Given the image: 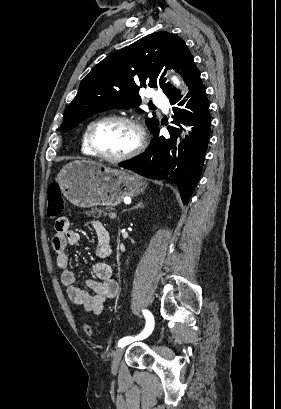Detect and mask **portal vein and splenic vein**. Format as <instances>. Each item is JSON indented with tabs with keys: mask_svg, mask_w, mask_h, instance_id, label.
I'll list each match as a JSON object with an SVG mask.
<instances>
[{
	"mask_svg": "<svg viewBox=\"0 0 281 409\" xmlns=\"http://www.w3.org/2000/svg\"><path fill=\"white\" fill-rule=\"evenodd\" d=\"M109 217H110V219H115L116 215H115L114 212H110Z\"/></svg>",
	"mask_w": 281,
	"mask_h": 409,
	"instance_id": "1",
	"label": "portal vein and splenic vein"
}]
</instances>
